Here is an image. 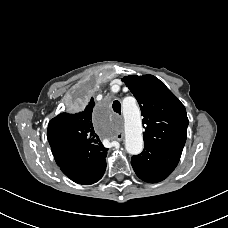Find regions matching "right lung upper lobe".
<instances>
[{
    "label": "right lung upper lobe",
    "instance_id": "1",
    "mask_svg": "<svg viewBox=\"0 0 228 228\" xmlns=\"http://www.w3.org/2000/svg\"><path fill=\"white\" fill-rule=\"evenodd\" d=\"M94 105V99L91 98L82 111L74 114L61 113L49 122L47 138L52 150L69 149L76 145L100 150L104 148L93 128Z\"/></svg>",
    "mask_w": 228,
    "mask_h": 228
}]
</instances>
